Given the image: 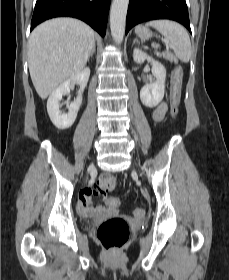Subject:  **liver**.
Wrapping results in <instances>:
<instances>
[{
    "label": "liver",
    "mask_w": 229,
    "mask_h": 280,
    "mask_svg": "<svg viewBox=\"0 0 229 280\" xmlns=\"http://www.w3.org/2000/svg\"><path fill=\"white\" fill-rule=\"evenodd\" d=\"M94 43L93 29L72 18L51 19L32 31L28 66L41 99H46L59 84L83 70Z\"/></svg>",
    "instance_id": "obj_1"
}]
</instances>
